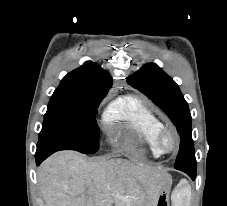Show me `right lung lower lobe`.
I'll return each instance as SVG.
<instances>
[{
  "mask_svg": "<svg viewBox=\"0 0 227 206\" xmlns=\"http://www.w3.org/2000/svg\"><path fill=\"white\" fill-rule=\"evenodd\" d=\"M53 153L54 152L52 151L36 153L35 158L37 166L40 165L42 161H44L48 156H50Z\"/></svg>",
  "mask_w": 227,
  "mask_h": 206,
  "instance_id": "1",
  "label": "right lung lower lobe"
}]
</instances>
